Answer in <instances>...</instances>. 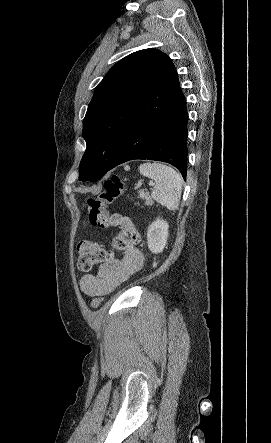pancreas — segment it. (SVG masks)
Wrapping results in <instances>:
<instances>
[{"label": "pancreas", "instance_id": "1", "mask_svg": "<svg viewBox=\"0 0 271 443\" xmlns=\"http://www.w3.org/2000/svg\"><path fill=\"white\" fill-rule=\"evenodd\" d=\"M139 198L145 200L146 206H152V204H154L151 196H149V192H139Z\"/></svg>", "mask_w": 271, "mask_h": 443}]
</instances>
